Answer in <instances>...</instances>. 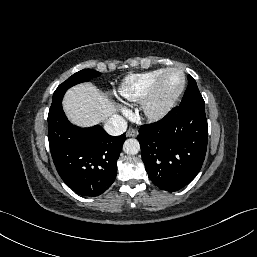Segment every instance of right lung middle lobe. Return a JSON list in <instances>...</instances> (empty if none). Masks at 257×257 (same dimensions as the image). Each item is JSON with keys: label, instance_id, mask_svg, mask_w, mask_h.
Masks as SVG:
<instances>
[{"label": "right lung middle lobe", "instance_id": "obj_1", "mask_svg": "<svg viewBox=\"0 0 257 257\" xmlns=\"http://www.w3.org/2000/svg\"><path fill=\"white\" fill-rule=\"evenodd\" d=\"M101 73L92 69H84L69 77L65 82H63L59 87L55 90L52 97V104L50 110L59 106L62 102V98L67 89L70 87L82 83L87 82L92 78L98 77Z\"/></svg>", "mask_w": 257, "mask_h": 257}]
</instances>
